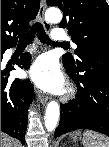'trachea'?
I'll return each mask as SVG.
<instances>
[{
  "label": "trachea",
  "instance_id": "obj_1",
  "mask_svg": "<svg viewBox=\"0 0 109 147\" xmlns=\"http://www.w3.org/2000/svg\"><path fill=\"white\" fill-rule=\"evenodd\" d=\"M35 34H37L38 39L40 40V42L44 43V44H53V45H60L57 42H52L49 38V36L46 34L43 26L41 23L36 22L31 29L24 35L20 36L19 39V46H27L30 43H32Z\"/></svg>",
  "mask_w": 109,
  "mask_h": 147
}]
</instances>
